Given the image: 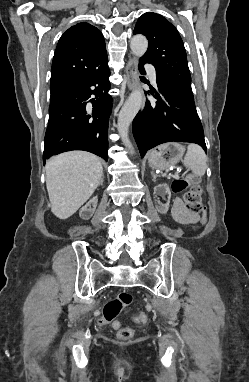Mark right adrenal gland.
<instances>
[{
	"label": "right adrenal gland",
	"mask_w": 249,
	"mask_h": 382,
	"mask_svg": "<svg viewBox=\"0 0 249 382\" xmlns=\"http://www.w3.org/2000/svg\"><path fill=\"white\" fill-rule=\"evenodd\" d=\"M103 181H104V175H102V178L100 180V185H103Z\"/></svg>",
	"instance_id": "1"
}]
</instances>
